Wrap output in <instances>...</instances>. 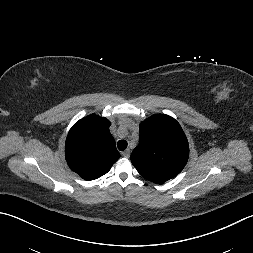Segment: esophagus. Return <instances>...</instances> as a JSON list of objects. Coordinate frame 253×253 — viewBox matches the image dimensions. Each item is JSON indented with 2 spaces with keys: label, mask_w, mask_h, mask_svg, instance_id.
I'll use <instances>...</instances> for the list:
<instances>
[{
  "label": "esophagus",
  "mask_w": 253,
  "mask_h": 253,
  "mask_svg": "<svg viewBox=\"0 0 253 253\" xmlns=\"http://www.w3.org/2000/svg\"><path fill=\"white\" fill-rule=\"evenodd\" d=\"M121 155L124 158H129L130 157V150H125L124 152L121 153Z\"/></svg>",
  "instance_id": "obj_1"
}]
</instances>
